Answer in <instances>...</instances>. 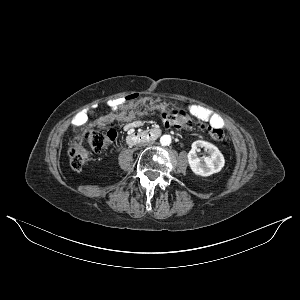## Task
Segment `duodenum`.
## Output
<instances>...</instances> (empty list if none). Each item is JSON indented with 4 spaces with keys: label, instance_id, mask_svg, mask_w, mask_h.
Here are the masks:
<instances>
[{
    "label": "duodenum",
    "instance_id": "410a0bca",
    "mask_svg": "<svg viewBox=\"0 0 300 300\" xmlns=\"http://www.w3.org/2000/svg\"><path fill=\"white\" fill-rule=\"evenodd\" d=\"M160 135L159 129H150L143 132L130 133L126 138V144L133 145L137 142L154 140Z\"/></svg>",
    "mask_w": 300,
    "mask_h": 300
}]
</instances>
